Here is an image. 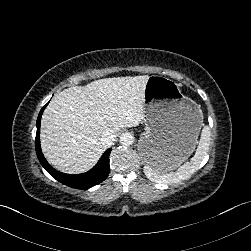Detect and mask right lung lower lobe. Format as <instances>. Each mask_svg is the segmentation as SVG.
Returning a JSON list of instances; mask_svg holds the SVG:
<instances>
[{"mask_svg": "<svg viewBox=\"0 0 251 251\" xmlns=\"http://www.w3.org/2000/svg\"><path fill=\"white\" fill-rule=\"evenodd\" d=\"M48 104V103H47ZM47 104L41 109L37 118V133L35 139V149L41 165L52 175L56 180L64 185L77 189H88L103 182L110 171L109 155L112 149L104 152L99 162L88 172L78 175H69L56 171L44 158L40 147V122L42 113Z\"/></svg>", "mask_w": 251, "mask_h": 251, "instance_id": "right-lung-lower-lobe-1", "label": "right lung lower lobe"}]
</instances>
